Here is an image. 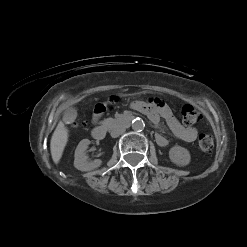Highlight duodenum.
<instances>
[{
	"mask_svg": "<svg viewBox=\"0 0 247 247\" xmlns=\"http://www.w3.org/2000/svg\"><path fill=\"white\" fill-rule=\"evenodd\" d=\"M133 119H134V116H132V115H124L120 118L112 120L108 124L95 126L92 130V136L96 140H102L106 136L108 128L111 125L118 124V125L127 126V125L131 124Z\"/></svg>",
	"mask_w": 247,
	"mask_h": 247,
	"instance_id": "duodenum-1",
	"label": "duodenum"
}]
</instances>
